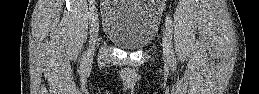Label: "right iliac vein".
<instances>
[{"mask_svg": "<svg viewBox=\"0 0 259 94\" xmlns=\"http://www.w3.org/2000/svg\"><path fill=\"white\" fill-rule=\"evenodd\" d=\"M98 31H99V24H98L97 18L95 17V20H94V22L92 24V28H91V33H90L89 47H88V51H87V61H89L93 58L95 44H96L97 37H98Z\"/></svg>", "mask_w": 259, "mask_h": 94, "instance_id": "right-iliac-vein-1", "label": "right iliac vein"}]
</instances>
